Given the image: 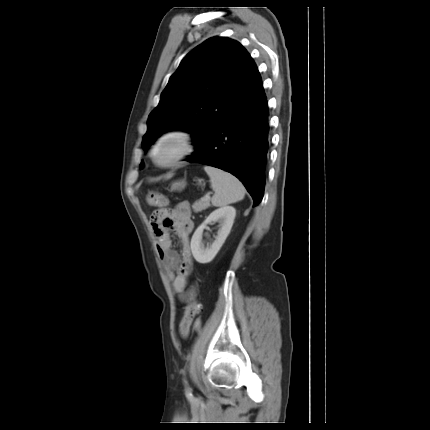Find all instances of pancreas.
Returning a JSON list of instances; mask_svg holds the SVG:
<instances>
[{
  "label": "pancreas",
  "mask_w": 430,
  "mask_h": 430,
  "mask_svg": "<svg viewBox=\"0 0 430 430\" xmlns=\"http://www.w3.org/2000/svg\"><path fill=\"white\" fill-rule=\"evenodd\" d=\"M209 206H210L209 199H201L199 201H196L192 205V208H193L194 212H201L202 210L207 209Z\"/></svg>",
  "instance_id": "pancreas-1"
}]
</instances>
